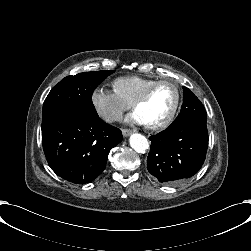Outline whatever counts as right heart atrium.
<instances>
[{
	"label": "right heart atrium",
	"mask_w": 251,
	"mask_h": 251,
	"mask_svg": "<svg viewBox=\"0 0 251 251\" xmlns=\"http://www.w3.org/2000/svg\"><path fill=\"white\" fill-rule=\"evenodd\" d=\"M90 103L95 113L106 123L117 121L121 115L131 108L114 91L95 88L90 93Z\"/></svg>",
	"instance_id": "obj_1"
}]
</instances>
